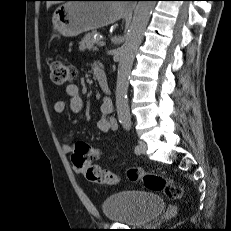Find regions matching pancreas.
<instances>
[{"mask_svg": "<svg viewBox=\"0 0 231 231\" xmlns=\"http://www.w3.org/2000/svg\"><path fill=\"white\" fill-rule=\"evenodd\" d=\"M94 35H96L95 38H94ZM100 41L101 39L99 37V33L97 32L88 33L84 36V38L79 43V50L80 51H85V50L95 51L97 50V46L95 45L98 44Z\"/></svg>", "mask_w": 231, "mask_h": 231, "instance_id": "1", "label": "pancreas"}]
</instances>
